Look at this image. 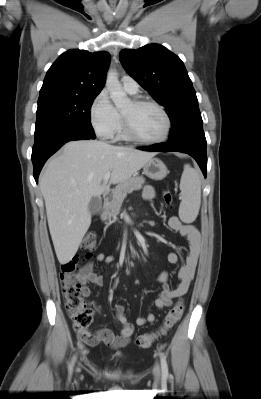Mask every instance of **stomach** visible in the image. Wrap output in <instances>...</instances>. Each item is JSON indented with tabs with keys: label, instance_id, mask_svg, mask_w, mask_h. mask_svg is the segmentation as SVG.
<instances>
[{
	"label": "stomach",
	"instance_id": "obj_1",
	"mask_svg": "<svg viewBox=\"0 0 261 399\" xmlns=\"http://www.w3.org/2000/svg\"><path fill=\"white\" fill-rule=\"evenodd\" d=\"M143 173L150 179L162 180L167 176L168 170L160 159L152 158L143 166Z\"/></svg>",
	"mask_w": 261,
	"mask_h": 399
}]
</instances>
